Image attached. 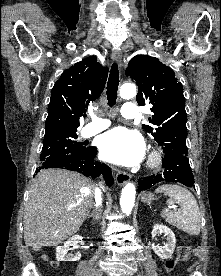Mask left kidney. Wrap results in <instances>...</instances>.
<instances>
[{
	"label": "left kidney",
	"mask_w": 221,
	"mask_h": 276,
	"mask_svg": "<svg viewBox=\"0 0 221 276\" xmlns=\"http://www.w3.org/2000/svg\"><path fill=\"white\" fill-rule=\"evenodd\" d=\"M159 233H164L167 239V243L163 247L153 246V250L155 254H157L162 259L171 258L176 246L175 235L173 231L167 226L155 224L151 232L152 238H154Z\"/></svg>",
	"instance_id": "obj_1"
}]
</instances>
